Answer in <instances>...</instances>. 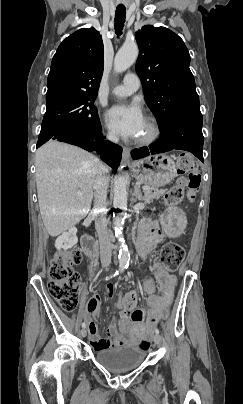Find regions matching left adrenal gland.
<instances>
[{
  "label": "left adrenal gland",
  "mask_w": 243,
  "mask_h": 404,
  "mask_svg": "<svg viewBox=\"0 0 243 404\" xmlns=\"http://www.w3.org/2000/svg\"><path fill=\"white\" fill-rule=\"evenodd\" d=\"M134 196H135L134 202H136V200H140V202H142L143 198L139 186H134Z\"/></svg>",
  "instance_id": "left-adrenal-gland-1"
}]
</instances>
